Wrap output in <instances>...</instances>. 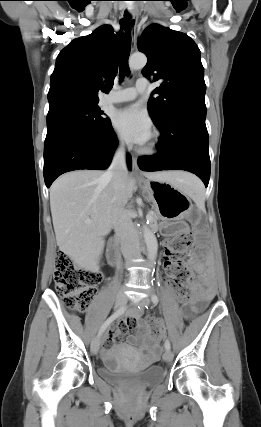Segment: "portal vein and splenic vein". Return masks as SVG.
<instances>
[{"instance_id": "portal-vein-and-splenic-vein-1", "label": "portal vein and splenic vein", "mask_w": 261, "mask_h": 427, "mask_svg": "<svg viewBox=\"0 0 261 427\" xmlns=\"http://www.w3.org/2000/svg\"><path fill=\"white\" fill-rule=\"evenodd\" d=\"M147 218H148V219L150 218V215H149V214L147 215Z\"/></svg>"}]
</instances>
